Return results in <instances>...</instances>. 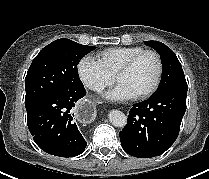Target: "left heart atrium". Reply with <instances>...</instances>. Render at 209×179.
I'll return each instance as SVG.
<instances>
[{"instance_id":"1","label":"left heart atrium","mask_w":209,"mask_h":179,"mask_svg":"<svg viewBox=\"0 0 209 179\" xmlns=\"http://www.w3.org/2000/svg\"><path fill=\"white\" fill-rule=\"evenodd\" d=\"M104 97L110 101H123L132 98L133 95L124 86L118 84L105 93Z\"/></svg>"}]
</instances>
